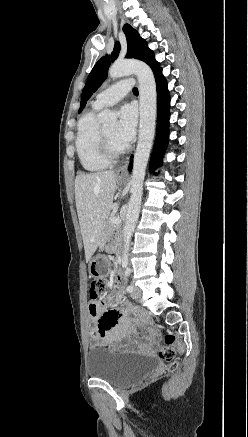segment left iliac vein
<instances>
[{
  "mask_svg": "<svg viewBox=\"0 0 248 437\" xmlns=\"http://www.w3.org/2000/svg\"><path fill=\"white\" fill-rule=\"evenodd\" d=\"M132 287H133V290H132V292H131V297H132L133 299H138V298H140V296H141V290H140L137 286L132 285Z\"/></svg>",
  "mask_w": 248,
  "mask_h": 437,
  "instance_id": "1",
  "label": "left iliac vein"
}]
</instances>
